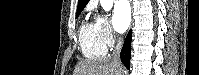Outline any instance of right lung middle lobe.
<instances>
[{"label": "right lung middle lobe", "instance_id": "right-lung-middle-lobe-1", "mask_svg": "<svg viewBox=\"0 0 199 75\" xmlns=\"http://www.w3.org/2000/svg\"><path fill=\"white\" fill-rule=\"evenodd\" d=\"M79 16V14H76V17H78Z\"/></svg>", "mask_w": 199, "mask_h": 75}]
</instances>
